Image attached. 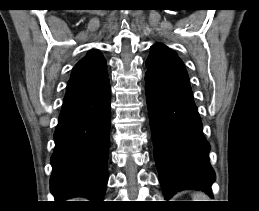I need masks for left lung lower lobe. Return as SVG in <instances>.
I'll return each mask as SVG.
<instances>
[{"mask_svg":"<svg viewBox=\"0 0 259 211\" xmlns=\"http://www.w3.org/2000/svg\"><path fill=\"white\" fill-rule=\"evenodd\" d=\"M145 83L154 158L165 199L184 189H200L212 197L215 173L209 163L210 145L191 89L146 77Z\"/></svg>","mask_w":259,"mask_h":211,"instance_id":"0a47b994","label":"left lung lower lobe"}]
</instances>
